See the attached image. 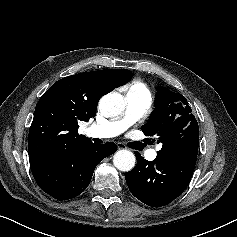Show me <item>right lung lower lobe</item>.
<instances>
[{"label": "right lung lower lobe", "instance_id": "1", "mask_svg": "<svg viewBox=\"0 0 237 237\" xmlns=\"http://www.w3.org/2000/svg\"><path fill=\"white\" fill-rule=\"evenodd\" d=\"M116 151L115 143L94 144L89 139L30 165L44 192L55 199L67 200L81 194L89 185L96 166Z\"/></svg>", "mask_w": 237, "mask_h": 237}]
</instances>
